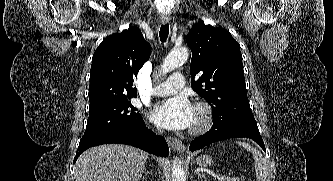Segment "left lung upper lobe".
<instances>
[{
  "label": "left lung upper lobe",
  "instance_id": "5c2ea615",
  "mask_svg": "<svg viewBox=\"0 0 333 181\" xmlns=\"http://www.w3.org/2000/svg\"><path fill=\"white\" fill-rule=\"evenodd\" d=\"M187 44L192 51L191 86L211 105L213 115H226L238 128L259 133L247 98L240 45L230 32L197 23Z\"/></svg>",
  "mask_w": 333,
  "mask_h": 181
}]
</instances>
